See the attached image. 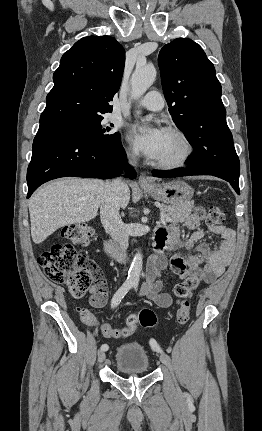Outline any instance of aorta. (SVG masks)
<instances>
[{
    "label": "aorta",
    "instance_id": "762f6f07",
    "mask_svg": "<svg viewBox=\"0 0 262 431\" xmlns=\"http://www.w3.org/2000/svg\"><path fill=\"white\" fill-rule=\"evenodd\" d=\"M156 69L153 65L137 66L131 77V96L139 99L153 84L156 78ZM143 266V257L140 251L135 254L129 272L128 281L133 285H138L141 270Z\"/></svg>",
    "mask_w": 262,
    "mask_h": 431
}]
</instances>
